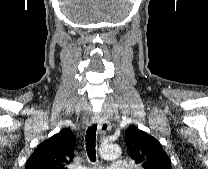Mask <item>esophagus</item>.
<instances>
[{
	"mask_svg": "<svg viewBox=\"0 0 208 169\" xmlns=\"http://www.w3.org/2000/svg\"><path fill=\"white\" fill-rule=\"evenodd\" d=\"M97 123H98L99 134L101 136L105 135L111 128L110 121L104 116H98Z\"/></svg>",
	"mask_w": 208,
	"mask_h": 169,
	"instance_id": "obj_1",
	"label": "esophagus"
}]
</instances>
